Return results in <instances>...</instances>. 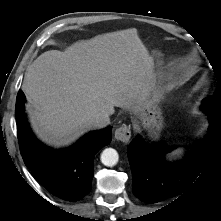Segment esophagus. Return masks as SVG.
Listing matches in <instances>:
<instances>
[{
    "label": "esophagus",
    "mask_w": 221,
    "mask_h": 221,
    "mask_svg": "<svg viewBox=\"0 0 221 221\" xmlns=\"http://www.w3.org/2000/svg\"><path fill=\"white\" fill-rule=\"evenodd\" d=\"M114 138L117 141L128 143L131 138V128L128 125H122L114 132Z\"/></svg>",
    "instance_id": "1"
}]
</instances>
